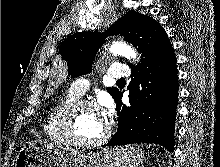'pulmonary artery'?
Returning <instances> with one entry per match:
<instances>
[{
    "label": "pulmonary artery",
    "mask_w": 220,
    "mask_h": 167,
    "mask_svg": "<svg viewBox=\"0 0 220 167\" xmlns=\"http://www.w3.org/2000/svg\"><path fill=\"white\" fill-rule=\"evenodd\" d=\"M130 74V69L125 64H113L108 68V76L111 79H119L126 77ZM90 87V81L87 78H79L73 82L71 92L78 97L86 94Z\"/></svg>",
    "instance_id": "1"
}]
</instances>
